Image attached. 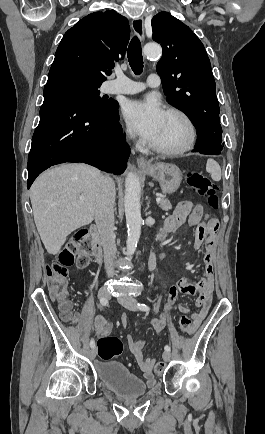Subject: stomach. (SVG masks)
I'll use <instances>...</instances> for the list:
<instances>
[{"label":"stomach","mask_w":265,"mask_h":434,"mask_svg":"<svg viewBox=\"0 0 265 434\" xmlns=\"http://www.w3.org/2000/svg\"><path fill=\"white\" fill-rule=\"evenodd\" d=\"M147 176H152L155 180H158L163 194H173L178 190L182 182V174L174 164H163V162H157L150 168H140Z\"/></svg>","instance_id":"obj_1"}]
</instances>
